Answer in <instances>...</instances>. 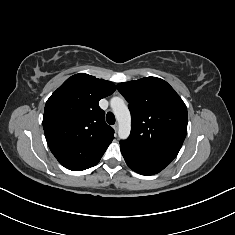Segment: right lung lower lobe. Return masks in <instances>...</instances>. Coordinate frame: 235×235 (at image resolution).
<instances>
[{
    "instance_id": "1",
    "label": "right lung lower lobe",
    "mask_w": 235,
    "mask_h": 235,
    "mask_svg": "<svg viewBox=\"0 0 235 235\" xmlns=\"http://www.w3.org/2000/svg\"><path fill=\"white\" fill-rule=\"evenodd\" d=\"M100 159H101V158H100ZM100 159H99V160H97L96 162L92 163L91 165L86 166V167L68 168V169L73 170V171H81V170H85V169H87V168H90V167H92V166L96 165V164L100 161Z\"/></svg>"
}]
</instances>
